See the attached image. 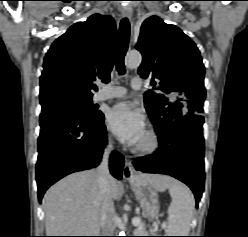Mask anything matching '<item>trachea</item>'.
Segmentation results:
<instances>
[{
  "instance_id": "3493384b",
  "label": "trachea",
  "mask_w": 248,
  "mask_h": 237,
  "mask_svg": "<svg viewBox=\"0 0 248 237\" xmlns=\"http://www.w3.org/2000/svg\"><path fill=\"white\" fill-rule=\"evenodd\" d=\"M130 24L127 18L122 19L119 28V39L116 50V68L120 75L125 74L124 57L129 45Z\"/></svg>"
}]
</instances>
